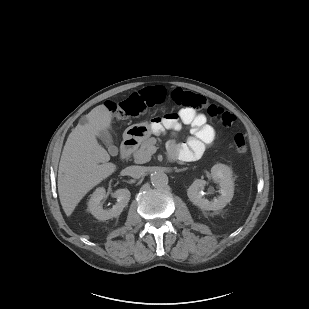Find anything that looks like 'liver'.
I'll use <instances>...</instances> for the list:
<instances>
[{"mask_svg": "<svg viewBox=\"0 0 309 309\" xmlns=\"http://www.w3.org/2000/svg\"><path fill=\"white\" fill-rule=\"evenodd\" d=\"M112 118V112L105 105H98L67 138L58 170V193L67 216L92 188L117 169L108 162V152L96 139L101 131L112 128Z\"/></svg>", "mask_w": 309, "mask_h": 309, "instance_id": "liver-1", "label": "liver"}]
</instances>
